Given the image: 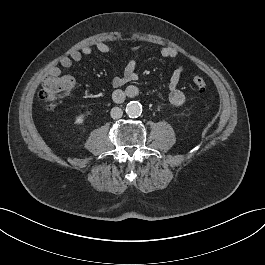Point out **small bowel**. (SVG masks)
<instances>
[{"instance_id": "1", "label": "small bowel", "mask_w": 265, "mask_h": 265, "mask_svg": "<svg viewBox=\"0 0 265 265\" xmlns=\"http://www.w3.org/2000/svg\"><path fill=\"white\" fill-rule=\"evenodd\" d=\"M94 49L105 54H111L114 52L113 48L107 43L99 41L94 44V46H83L78 50L72 51L68 56L63 57L60 60V66H53L49 73L51 75H59L61 73V68L69 69L72 67L73 63L79 62L84 56H89L94 52ZM161 56L164 58H174L177 56V50L171 46H165L160 51ZM185 71L184 66H178L170 75L168 85H167V97L168 101L173 106H181L185 101V95L179 88V82L181 76ZM138 79L137 72V61L135 59L129 60L123 70L121 75L116 76L112 80L113 87V98L114 100L120 102L125 98H132L138 94V88L134 85H129L125 89H120V87L132 83Z\"/></svg>"}]
</instances>
